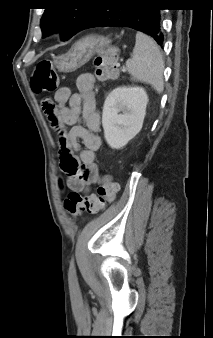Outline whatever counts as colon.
<instances>
[{
	"label": "colon",
	"instance_id": "colon-1",
	"mask_svg": "<svg viewBox=\"0 0 213 338\" xmlns=\"http://www.w3.org/2000/svg\"><path fill=\"white\" fill-rule=\"evenodd\" d=\"M118 60V49L114 45L105 47L95 58V74L99 80H107L117 73L116 62ZM32 90L37 93H51L58 89L59 79L51 61H40L30 77ZM51 123L58 125L57 118L53 115V107L50 105L43 107ZM60 141L63 139L62 130L57 132ZM59 154L61 157V169L67 175L74 174L81 168L78 160L72 155L66 146H60ZM118 191V184L109 177H104L97 186L96 193L81 195L71 191L65 198L64 205L67 213L73 219L83 213L98 214L105 206L106 202L112 201Z\"/></svg>",
	"mask_w": 213,
	"mask_h": 338
}]
</instances>
